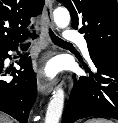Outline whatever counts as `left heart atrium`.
<instances>
[{"instance_id": "obj_1", "label": "left heart atrium", "mask_w": 118, "mask_h": 123, "mask_svg": "<svg viewBox=\"0 0 118 123\" xmlns=\"http://www.w3.org/2000/svg\"><path fill=\"white\" fill-rule=\"evenodd\" d=\"M45 72L48 74V75H53L55 72H56V68L54 65H48L46 68H45Z\"/></svg>"}]
</instances>
